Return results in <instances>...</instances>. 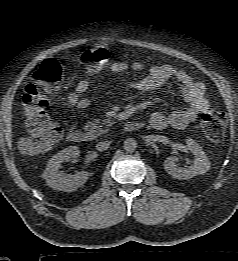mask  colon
Masks as SVG:
<instances>
[{"mask_svg": "<svg viewBox=\"0 0 238 261\" xmlns=\"http://www.w3.org/2000/svg\"><path fill=\"white\" fill-rule=\"evenodd\" d=\"M82 60L92 72H97L109 62L110 53L102 47H90L83 51ZM64 73L62 64L55 59L45 60L32 74L31 82L25 88L22 102L26 124L30 136L19 142L24 153H41L52 148L62 136L59 126L50 118L47 107L49 100L46 92L57 88ZM228 124L226 112L211 108L201 119L203 131L208 139L221 141Z\"/></svg>", "mask_w": 238, "mask_h": 261, "instance_id": "1", "label": "colon"}]
</instances>
